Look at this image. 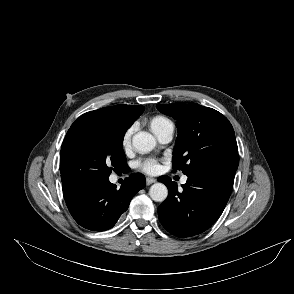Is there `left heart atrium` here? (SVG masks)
I'll return each mask as SVG.
<instances>
[{"mask_svg": "<svg viewBox=\"0 0 294 294\" xmlns=\"http://www.w3.org/2000/svg\"><path fill=\"white\" fill-rule=\"evenodd\" d=\"M138 168L145 173L155 174L159 169V165L157 160L150 158L139 161Z\"/></svg>", "mask_w": 294, "mask_h": 294, "instance_id": "obj_1", "label": "left heart atrium"}]
</instances>
